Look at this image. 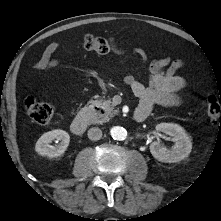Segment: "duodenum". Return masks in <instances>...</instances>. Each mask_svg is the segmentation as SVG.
Segmentation results:
<instances>
[{"mask_svg": "<svg viewBox=\"0 0 221 221\" xmlns=\"http://www.w3.org/2000/svg\"><path fill=\"white\" fill-rule=\"evenodd\" d=\"M147 112L143 110H136L133 114V119L135 122H143L147 117ZM87 128V117L86 112H81L72 122L71 130L76 135H82Z\"/></svg>", "mask_w": 221, "mask_h": 221, "instance_id": "duodenum-1", "label": "duodenum"}]
</instances>
